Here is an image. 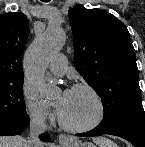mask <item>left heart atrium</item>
<instances>
[{"label":"left heart atrium","instance_id":"obj_1","mask_svg":"<svg viewBox=\"0 0 145 147\" xmlns=\"http://www.w3.org/2000/svg\"><path fill=\"white\" fill-rule=\"evenodd\" d=\"M70 92H71V90L64 91L61 98H60V100H59V102H58V104H57V112L59 114L62 113V111H63V109L65 107V104H66V102H67V100L69 98Z\"/></svg>","mask_w":145,"mask_h":147}]
</instances>
